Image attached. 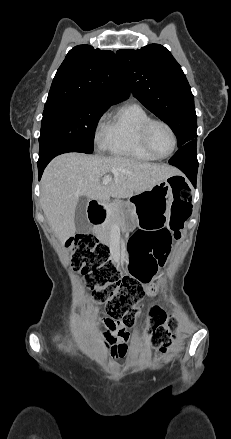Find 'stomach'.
Wrapping results in <instances>:
<instances>
[{
  "mask_svg": "<svg viewBox=\"0 0 231 439\" xmlns=\"http://www.w3.org/2000/svg\"><path fill=\"white\" fill-rule=\"evenodd\" d=\"M172 177L131 197L130 209L134 217L126 221L127 229L131 230L139 224L144 229L155 230L167 223L173 201Z\"/></svg>",
  "mask_w": 231,
  "mask_h": 439,
  "instance_id": "obj_1",
  "label": "stomach"
}]
</instances>
